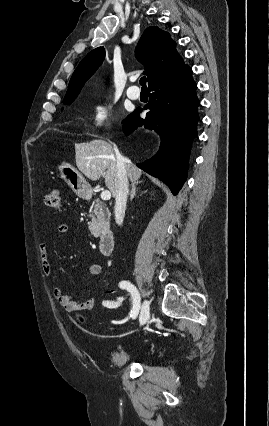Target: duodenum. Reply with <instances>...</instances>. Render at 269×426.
Here are the masks:
<instances>
[{
  "label": "duodenum",
  "instance_id": "obj_1",
  "mask_svg": "<svg viewBox=\"0 0 269 426\" xmlns=\"http://www.w3.org/2000/svg\"><path fill=\"white\" fill-rule=\"evenodd\" d=\"M115 235L113 231L107 230L104 231L99 239V249L102 255L108 256L111 255L114 248Z\"/></svg>",
  "mask_w": 269,
  "mask_h": 426
}]
</instances>
